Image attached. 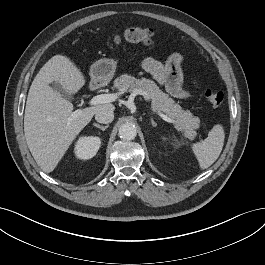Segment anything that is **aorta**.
<instances>
[{
	"instance_id": "762f6f07",
	"label": "aorta",
	"mask_w": 265,
	"mask_h": 265,
	"mask_svg": "<svg viewBox=\"0 0 265 265\" xmlns=\"http://www.w3.org/2000/svg\"><path fill=\"white\" fill-rule=\"evenodd\" d=\"M118 135L122 140H133L137 135L136 128L131 123L122 124L119 128Z\"/></svg>"
}]
</instances>
